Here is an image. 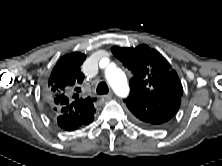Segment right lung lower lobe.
<instances>
[{"label": "right lung lower lobe", "mask_w": 222, "mask_h": 166, "mask_svg": "<svg viewBox=\"0 0 222 166\" xmlns=\"http://www.w3.org/2000/svg\"><path fill=\"white\" fill-rule=\"evenodd\" d=\"M55 117H56V121H57L59 127H61L62 129L66 130V131L75 130L82 125H88L94 119V117H93V119L90 122H88L87 124H80L79 125V123L77 121H74L66 114H57Z\"/></svg>", "instance_id": "98d812e1"}]
</instances>
